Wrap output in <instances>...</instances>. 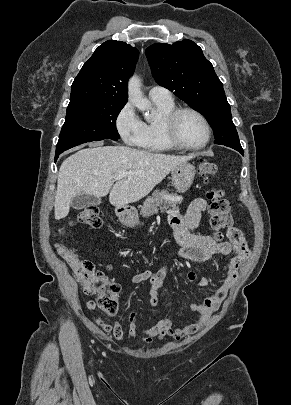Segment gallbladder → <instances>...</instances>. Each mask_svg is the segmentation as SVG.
<instances>
[{
  "mask_svg": "<svg viewBox=\"0 0 291 405\" xmlns=\"http://www.w3.org/2000/svg\"><path fill=\"white\" fill-rule=\"evenodd\" d=\"M101 203V199L86 193H81L73 198L71 206L80 210L88 206H98Z\"/></svg>",
  "mask_w": 291,
  "mask_h": 405,
  "instance_id": "obj_1",
  "label": "gallbladder"
}]
</instances>
